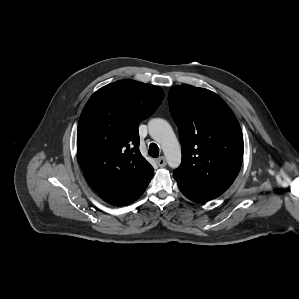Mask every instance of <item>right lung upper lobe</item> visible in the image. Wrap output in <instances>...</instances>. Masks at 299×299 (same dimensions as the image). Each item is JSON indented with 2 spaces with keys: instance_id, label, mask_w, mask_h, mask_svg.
I'll list each match as a JSON object with an SVG mask.
<instances>
[{
  "instance_id": "right-lung-upper-lobe-1",
  "label": "right lung upper lobe",
  "mask_w": 299,
  "mask_h": 299,
  "mask_svg": "<svg viewBox=\"0 0 299 299\" xmlns=\"http://www.w3.org/2000/svg\"><path fill=\"white\" fill-rule=\"evenodd\" d=\"M163 90L121 80L97 90L77 129V158L92 188L106 202L122 205L139 197L154 169L139 151V123L161 104Z\"/></svg>"
}]
</instances>
